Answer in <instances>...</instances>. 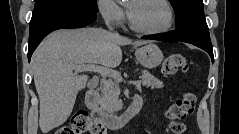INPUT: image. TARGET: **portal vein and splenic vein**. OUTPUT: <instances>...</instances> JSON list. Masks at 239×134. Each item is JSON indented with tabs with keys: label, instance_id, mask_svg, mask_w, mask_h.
<instances>
[{
	"label": "portal vein and splenic vein",
	"instance_id": "18ae733b",
	"mask_svg": "<svg viewBox=\"0 0 239 134\" xmlns=\"http://www.w3.org/2000/svg\"><path fill=\"white\" fill-rule=\"evenodd\" d=\"M74 69L76 72H81V71H94L100 73L103 77H111L119 82H122L123 79L120 75L119 72L110 69L108 67H103V66H98L94 64H88V63H83V64H76L74 66ZM130 83L135 84V85H141L142 81L137 80V81H131Z\"/></svg>",
	"mask_w": 239,
	"mask_h": 134
}]
</instances>
